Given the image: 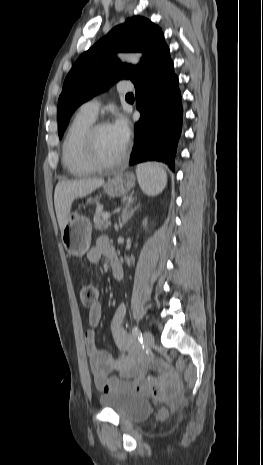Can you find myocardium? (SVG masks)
<instances>
[{
  "label": "myocardium",
  "mask_w": 263,
  "mask_h": 465,
  "mask_svg": "<svg viewBox=\"0 0 263 465\" xmlns=\"http://www.w3.org/2000/svg\"><path fill=\"white\" fill-rule=\"evenodd\" d=\"M105 126H109V124L104 121L92 123L87 128L82 138L84 157L86 161L96 170L111 169L120 165L125 160L128 152V148L125 146L122 153L114 160L105 161L100 158L96 146V135L98 131Z\"/></svg>",
  "instance_id": "1"
}]
</instances>
